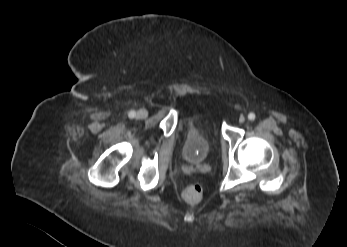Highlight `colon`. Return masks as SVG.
I'll use <instances>...</instances> for the list:
<instances>
[{"instance_id":"colon-1","label":"colon","mask_w":347,"mask_h":247,"mask_svg":"<svg viewBox=\"0 0 347 247\" xmlns=\"http://www.w3.org/2000/svg\"><path fill=\"white\" fill-rule=\"evenodd\" d=\"M203 188L198 183H192L183 190V198L186 202L196 204L202 200Z\"/></svg>"}]
</instances>
